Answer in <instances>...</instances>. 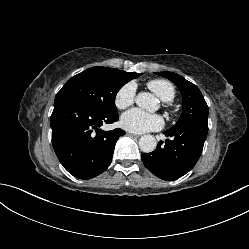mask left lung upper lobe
<instances>
[{"label": "left lung upper lobe", "mask_w": 249, "mask_h": 249, "mask_svg": "<svg viewBox=\"0 0 249 249\" xmlns=\"http://www.w3.org/2000/svg\"><path fill=\"white\" fill-rule=\"evenodd\" d=\"M171 80L180 90L183 111L178 122L171 129H178L195 121H208V106L198 87L184 77L172 72H155Z\"/></svg>", "instance_id": "5c2ea615"}]
</instances>
